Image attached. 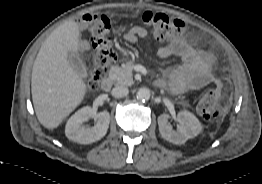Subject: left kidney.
Listing matches in <instances>:
<instances>
[{
	"instance_id": "5707ae66",
	"label": "left kidney",
	"mask_w": 262,
	"mask_h": 184,
	"mask_svg": "<svg viewBox=\"0 0 262 184\" xmlns=\"http://www.w3.org/2000/svg\"><path fill=\"white\" fill-rule=\"evenodd\" d=\"M169 115L161 114L158 117V126L162 138L174 144H183L202 132V125L194 114L184 110L180 111L177 119L180 123L177 131L173 130L168 123Z\"/></svg>"
}]
</instances>
